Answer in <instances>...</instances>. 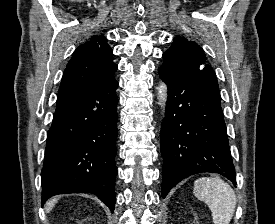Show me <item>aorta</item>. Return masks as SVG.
I'll list each match as a JSON object with an SVG mask.
<instances>
[{
	"label": "aorta",
	"mask_w": 275,
	"mask_h": 224,
	"mask_svg": "<svg viewBox=\"0 0 275 224\" xmlns=\"http://www.w3.org/2000/svg\"><path fill=\"white\" fill-rule=\"evenodd\" d=\"M157 89H158L159 104L164 109L165 108V103L167 101V88H166V85L164 83H160Z\"/></svg>",
	"instance_id": "1"
}]
</instances>
